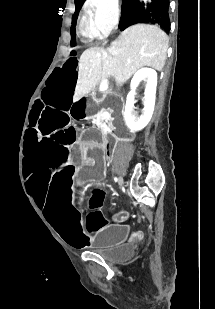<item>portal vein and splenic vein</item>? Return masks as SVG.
Returning a JSON list of instances; mask_svg holds the SVG:
<instances>
[{"label": "portal vein and splenic vein", "mask_w": 215, "mask_h": 309, "mask_svg": "<svg viewBox=\"0 0 215 309\" xmlns=\"http://www.w3.org/2000/svg\"><path fill=\"white\" fill-rule=\"evenodd\" d=\"M107 88H108L107 80H103L101 86H99V90H107Z\"/></svg>", "instance_id": "obj_1"}]
</instances>
